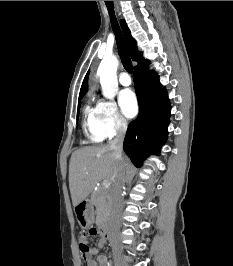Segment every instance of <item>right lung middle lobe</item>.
I'll use <instances>...</instances> for the list:
<instances>
[{"mask_svg":"<svg viewBox=\"0 0 233 266\" xmlns=\"http://www.w3.org/2000/svg\"><path fill=\"white\" fill-rule=\"evenodd\" d=\"M82 98H83V97H80V98H79V101H80ZM80 105H81V102H79V103H78V112H77V117H78V115H79V109H80Z\"/></svg>","mask_w":233,"mask_h":266,"instance_id":"1","label":"right lung middle lobe"}]
</instances>
